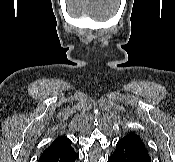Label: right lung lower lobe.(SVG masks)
I'll list each match as a JSON object with an SVG mask.
<instances>
[{
	"label": "right lung lower lobe",
	"instance_id": "right-lung-lower-lobe-1",
	"mask_svg": "<svg viewBox=\"0 0 175 162\" xmlns=\"http://www.w3.org/2000/svg\"><path fill=\"white\" fill-rule=\"evenodd\" d=\"M78 154L72 147L43 152L38 162H75Z\"/></svg>",
	"mask_w": 175,
	"mask_h": 162
}]
</instances>
